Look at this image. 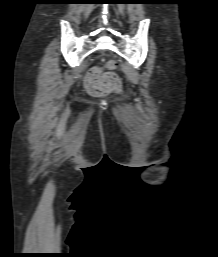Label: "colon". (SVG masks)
Returning a JSON list of instances; mask_svg holds the SVG:
<instances>
[{"label": "colon", "mask_w": 218, "mask_h": 257, "mask_svg": "<svg viewBox=\"0 0 218 257\" xmlns=\"http://www.w3.org/2000/svg\"><path fill=\"white\" fill-rule=\"evenodd\" d=\"M115 63L110 61L108 68L113 69ZM86 87L93 94L119 92L122 88L120 78L113 72L101 73L97 68L92 69L86 77Z\"/></svg>", "instance_id": "5ec220e1"}]
</instances>
